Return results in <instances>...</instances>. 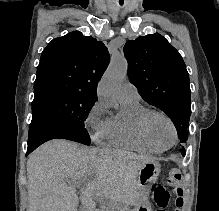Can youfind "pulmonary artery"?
Segmentation results:
<instances>
[{
  "mask_svg": "<svg viewBox=\"0 0 219 211\" xmlns=\"http://www.w3.org/2000/svg\"><path fill=\"white\" fill-rule=\"evenodd\" d=\"M140 94L135 85L130 82H126L120 92V101H139Z\"/></svg>",
  "mask_w": 219,
  "mask_h": 211,
  "instance_id": "e3ab8cb5",
  "label": "pulmonary artery"
}]
</instances>
